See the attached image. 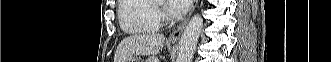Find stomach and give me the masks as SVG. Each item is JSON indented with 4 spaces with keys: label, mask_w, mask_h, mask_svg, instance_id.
<instances>
[{
    "label": "stomach",
    "mask_w": 331,
    "mask_h": 62,
    "mask_svg": "<svg viewBox=\"0 0 331 62\" xmlns=\"http://www.w3.org/2000/svg\"><path fill=\"white\" fill-rule=\"evenodd\" d=\"M127 62H144L140 57L134 56L130 58Z\"/></svg>",
    "instance_id": "obj_1"
}]
</instances>
